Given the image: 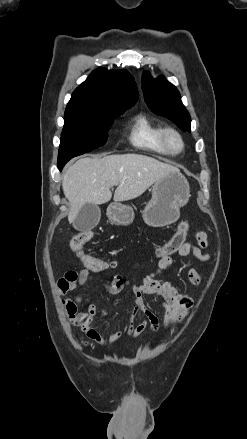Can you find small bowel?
<instances>
[{
	"label": "small bowel",
	"instance_id": "c3829d8e",
	"mask_svg": "<svg viewBox=\"0 0 247 439\" xmlns=\"http://www.w3.org/2000/svg\"><path fill=\"white\" fill-rule=\"evenodd\" d=\"M197 244L185 242L181 248L176 252L177 257H186L193 255L201 261H207L209 255L204 252L207 246V236L204 232L197 233ZM174 262L173 256L163 257L158 262V267L155 271L147 274L141 284H136L133 281L126 280L121 275H113L110 281L104 285V289L109 294L115 295L123 290L129 288L134 295V306L132 308L128 327L124 330L114 332L105 337L94 325L93 321L97 315L107 316L108 312L94 304H89L85 308L82 306V301L79 297H65L62 298V304L65 308L68 321L81 330L93 341L101 344H111L124 335L133 336L135 338H142L157 332L159 329V318L146 305L145 297L154 296L158 298L159 303L163 307L165 314L163 324L165 328L169 329L174 324L181 322L189 314L193 307V299L188 295L181 294L177 289L168 282H161L157 277ZM89 276V270L82 271H68L58 281V293L66 295L72 292L77 285H83ZM188 279L194 285H199L201 277L195 268H191L188 272ZM137 316L141 317V321L135 325L134 320ZM149 324V330L145 331ZM84 345L91 346L88 341H82Z\"/></svg>",
	"mask_w": 247,
	"mask_h": 439
}]
</instances>
